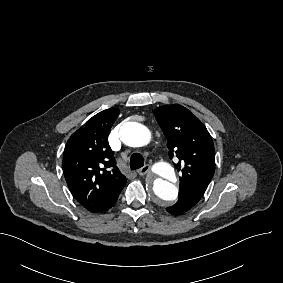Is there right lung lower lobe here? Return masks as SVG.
Wrapping results in <instances>:
<instances>
[{"label":"right lung lower lobe","instance_id":"obj_1","mask_svg":"<svg viewBox=\"0 0 283 283\" xmlns=\"http://www.w3.org/2000/svg\"><path fill=\"white\" fill-rule=\"evenodd\" d=\"M117 201V200H116ZM116 201L109 207V208H111L115 203H116ZM109 208H107L106 210H104V211H107ZM104 211H102V212H104Z\"/></svg>","mask_w":283,"mask_h":283}]
</instances>
